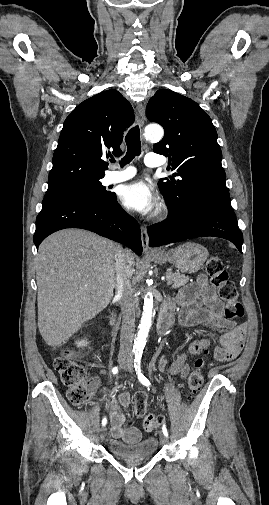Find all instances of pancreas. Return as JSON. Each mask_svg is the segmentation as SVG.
Segmentation results:
<instances>
[{"instance_id": "cf45deb5", "label": "pancreas", "mask_w": 269, "mask_h": 505, "mask_svg": "<svg viewBox=\"0 0 269 505\" xmlns=\"http://www.w3.org/2000/svg\"><path fill=\"white\" fill-rule=\"evenodd\" d=\"M167 282L169 285L172 286L173 289L180 288L181 286L185 285L189 280V276H185L184 274L180 273H172L169 272L166 274Z\"/></svg>"}]
</instances>
